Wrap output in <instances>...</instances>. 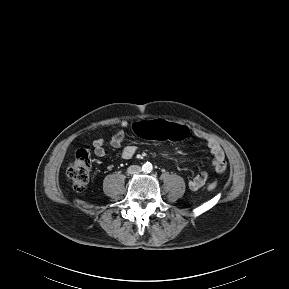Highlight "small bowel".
Here are the masks:
<instances>
[{"mask_svg":"<svg viewBox=\"0 0 289 289\" xmlns=\"http://www.w3.org/2000/svg\"><path fill=\"white\" fill-rule=\"evenodd\" d=\"M133 125L134 124L130 125L127 121H122L119 130L111 137L109 141L110 146L113 148L121 147L128 129H131L133 131ZM194 135L205 141L213 158L212 165L214 172L222 173L223 171H225L227 163L224 151L220 147V145L212 138L207 137L205 133L200 130H196L194 132ZM105 142L106 141L104 138H97L93 141L94 153L99 158H104L106 155ZM135 153L136 147L134 145H127L123 148L121 152V157L128 160L131 159L135 155ZM208 177L209 174L207 172H201L197 174L188 183L190 189L198 190L202 188L205 185Z\"/></svg>","mask_w":289,"mask_h":289,"instance_id":"c3829d8e","label":"small bowel"}]
</instances>
